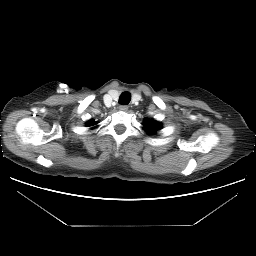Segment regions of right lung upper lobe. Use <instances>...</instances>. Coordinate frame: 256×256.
I'll list each match as a JSON object with an SVG mask.
<instances>
[{
  "instance_id": "cb5924a9",
  "label": "right lung upper lobe",
  "mask_w": 256,
  "mask_h": 256,
  "mask_svg": "<svg viewBox=\"0 0 256 256\" xmlns=\"http://www.w3.org/2000/svg\"><path fill=\"white\" fill-rule=\"evenodd\" d=\"M95 124H97V122H94L93 119H91V120L88 121V126H93V125H95Z\"/></svg>"
}]
</instances>
